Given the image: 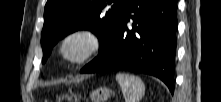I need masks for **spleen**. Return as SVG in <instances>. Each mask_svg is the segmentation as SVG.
I'll use <instances>...</instances> for the list:
<instances>
[{
	"label": "spleen",
	"instance_id": "3e777b00",
	"mask_svg": "<svg viewBox=\"0 0 221 102\" xmlns=\"http://www.w3.org/2000/svg\"><path fill=\"white\" fill-rule=\"evenodd\" d=\"M116 80L121 87L125 102H139L143 97L145 86L139 77L127 73H118Z\"/></svg>",
	"mask_w": 221,
	"mask_h": 102
}]
</instances>
